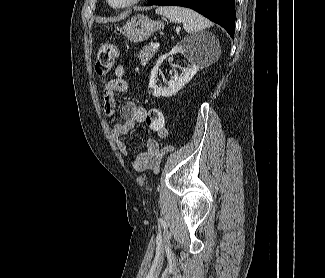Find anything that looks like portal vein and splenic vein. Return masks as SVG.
Masks as SVG:
<instances>
[{"mask_svg":"<svg viewBox=\"0 0 325 278\" xmlns=\"http://www.w3.org/2000/svg\"><path fill=\"white\" fill-rule=\"evenodd\" d=\"M159 42H157V41H155L154 43H151V47L152 48H157V47H159Z\"/></svg>","mask_w":325,"mask_h":278,"instance_id":"obj_1","label":"portal vein and splenic vein"}]
</instances>
